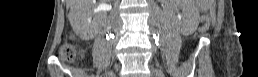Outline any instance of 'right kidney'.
Wrapping results in <instances>:
<instances>
[{"label": "right kidney", "mask_w": 258, "mask_h": 77, "mask_svg": "<svg viewBox=\"0 0 258 77\" xmlns=\"http://www.w3.org/2000/svg\"><path fill=\"white\" fill-rule=\"evenodd\" d=\"M92 2H96L92 0ZM103 5V4H102ZM75 32L84 40H89L93 38L95 33V26L90 21L89 18L85 19L83 17H79L75 12L74 22L72 24Z\"/></svg>", "instance_id": "obj_1"}]
</instances>
